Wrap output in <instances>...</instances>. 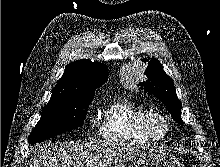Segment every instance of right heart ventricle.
Returning a JSON list of instances; mask_svg holds the SVG:
<instances>
[{"label":"right heart ventricle","instance_id":"right-heart-ventricle-1","mask_svg":"<svg viewBox=\"0 0 220 167\" xmlns=\"http://www.w3.org/2000/svg\"><path fill=\"white\" fill-rule=\"evenodd\" d=\"M149 112L148 108L129 97L118 96L103 112L100 136L117 143L150 142L142 129L143 120Z\"/></svg>","mask_w":220,"mask_h":167}]
</instances>
